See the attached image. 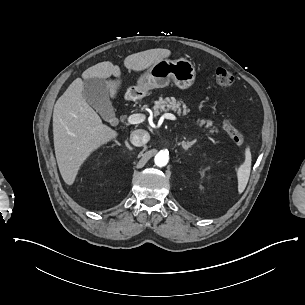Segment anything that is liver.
Wrapping results in <instances>:
<instances>
[{
  "instance_id": "obj_1",
  "label": "liver",
  "mask_w": 305,
  "mask_h": 305,
  "mask_svg": "<svg viewBox=\"0 0 305 305\" xmlns=\"http://www.w3.org/2000/svg\"><path fill=\"white\" fill-rule=\"evenodd\" d=\"M171 56L168 49H150L127 56L123 66L128 71L142 73ZM92 78L105 81L113 101L123 88L119 66L104 61L86 69L57 101L54 109L55 154L61 176L68 186L74 185L81 167L94 152L119 137L117 130L103 124L83 96L84 81Z\"/></svg>"
}]
</instances>
